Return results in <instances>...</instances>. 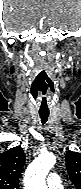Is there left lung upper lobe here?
<instances>
[{"label":"left lung upper lobe","mask_w":81,"mask_h":189,"mask_svg":"<svg viewBox=\"0 0 81 189\" xmlns=\"http://www.w3.org/2000/svg\"><path fill=\"white\" fill-rule=\"evenodd\" d=\"M65 161L70 180L77 189H81V153L68 151Z\"/></svg>","instance_id":"1"}]
</instances>
